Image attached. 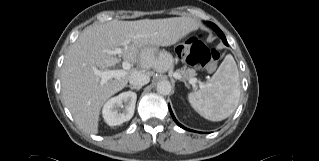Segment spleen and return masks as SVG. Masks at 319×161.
<instances>
[{
	"label": "spleen",
	"instance_id": "spleen-1",
	"mask_svg": "<svg viewBox=\"0 0 319 161\" xmlns=\"http://www.w3.org/2000/svg\"><path fill=\"white\" fill-rule=\"evenodd\" d=\"M241 93L239 73L232 55L228 54L209 83L188 94L196 112L210 121H221L237 108Z\"/></svg>",
	"mask_w": 319,
	"mask_h": 161
}]
</instances>
